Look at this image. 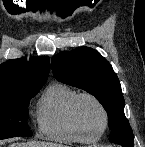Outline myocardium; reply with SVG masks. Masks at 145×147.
Returning <instances> with one entry per match:
<instances>
[{
    "label": "myocardium",
    "instance_id": "obj_1",
    "mask_svg": "<svg viewBox=\"0 0 145 147\" xmlns=\"http://www.w3.org/2000/svg\"><path fill=\"white\" fill-rule=\"evenodd\" d=\"M84 98L92 100L99 107V109L101 110L102 115H103V120H104L103 128L99 133H97L95 135H89L84 130V128L82 127L81 121L79 119L78 105H79L80 100H82ZM70 114H71L72 122H73L75 128L77 129V131L82 133V134L88 135L91 140L99 139L101 136H103L105 134V132L108 129V126H109V114H108L107 108L105 107L103 102L97 96H95L92 93H89V92L78 93L74 97V99H73V101L71 103Z\"/></svg>",
    "mask_w": 145,
    "mask_h": 147
}]
</instances>
